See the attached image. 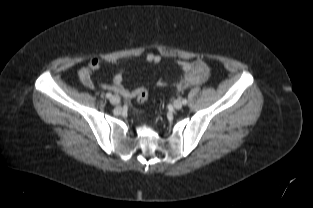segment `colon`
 <instances>
[{
	"mask_svg": "<svg viewBox=\"0 0 313 208\" xmlns=\"http://www.w3.org/2000/svg\"><path fill=\"white\" fill-rule=\"evenodd\" d=\"M148 99V91L145 89H141L137 94V100L140 103H144Z\"/></svg>",
	"mask_w": 313,
	"mask_h": 208,
	"instance_id": "5ec220e1",
	"label": "colon"
}]
</instances>
